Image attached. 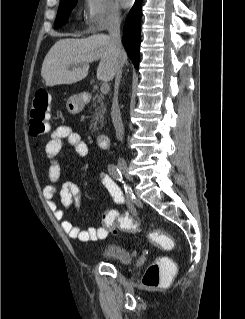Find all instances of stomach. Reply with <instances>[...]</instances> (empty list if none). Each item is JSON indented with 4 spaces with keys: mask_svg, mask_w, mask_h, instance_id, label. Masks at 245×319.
Returning a JSON list of instances; mask_svg holds the SVG:
<instances>
[{
    "mask_svg": "<svg viewBox=\"0 0 245 319\" xmlns=\"http://www.w3.org/2000/svg\"><path fill=\"white\" fill-rule=\"evenodd\" d=\"M84 101L80 94L72 95L66 102V109L70 114H78L84 108Z\"/></svg>",
    "mask_w": 245,
    "mask_h": 319,
    "instance_id": "1",
    "label": "stomach"
}]
</instances>
